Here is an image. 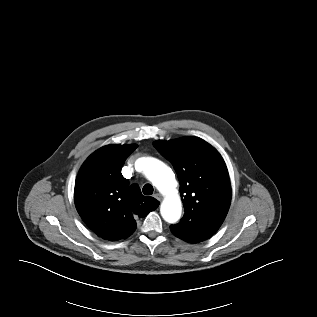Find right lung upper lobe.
Returning a JSON list of instances; mask_svg holds the SVG:
<instances>
[{"label": "right lung upper lobe", "mask_w": 317, "mask_h": 317, "mask_svg": "<svg viewBox=\"0 0 317 317\" xmlns=\"http://www.w3.org/2000/svg\"><path fill=\"white\" fill-rule=\"evenodd\" d=\"M136 145H107L82 165L74 190L76 209L85 224L105 240L129 237L136 220L155 210L159 202L143 196L137 184L121 174L122 166Z\"/></svg>", "instance_id": "1"}]
</instances>
